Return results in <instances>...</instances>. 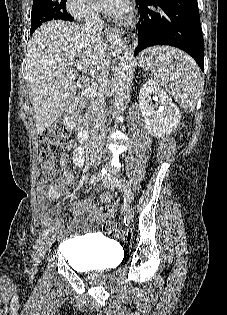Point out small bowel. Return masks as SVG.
<instances>
[{"instance_id": "1", "label": "small bowel", "mask_w": 227, "mask_h": 315, "mask_svg": "<svg viewBox=\"0 0 227 315\" xmlns=\"http://www.w3.org/2000/svg\"><path fill=\"white\" fill-rule=\"evenodd\" d=\"M72 161L76 168H82L85 163L84 151L80 146L72 149ZM67 159H61L59 163L60 175L53 180L49 187L42 183L37 184V195L43 206L41 214L42 221L45 225L59 224L60 208L57 205L48 207L55 202L60 196H71L68 186L73 182L74 176L67 169ZM73 213L76 217L87 216L105 222L114 216L116 206L107 201L103 207H99L93 200L77 201L72 206Z\"/></svg>"}]
</instances>
